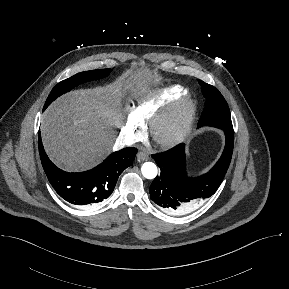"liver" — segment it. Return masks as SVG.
Instances as JSON below:
<instances>
[{
	"mask_svg": "<svg viewBox=\"0 0 289 289\" xmlns=\"http://www.w3.org/2000/svg\"><path fill=\"white\" fill-rule=\"evenodd\" d=\"M154 77L148 68L128 70L106 86L74 90L54 101L41 118L43 145L53 163L79 172L101 162L123 119V99L146 93Z\"/></svg>",
	"mask_w": 289,
	"mask_h": 289,
	"instance_id": "liver-1",
	"label": "liver"
}]
</instances>
